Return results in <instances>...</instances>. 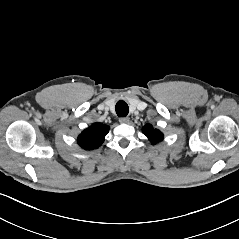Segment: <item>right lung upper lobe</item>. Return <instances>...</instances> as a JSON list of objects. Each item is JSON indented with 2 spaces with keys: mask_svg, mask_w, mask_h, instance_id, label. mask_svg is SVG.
Here are the masks:
<instances>
[{
  "mask_svg": "<svg viewBox=\"0 0 239 239\" xmlns=\"http://www.w3.org/2000/svg\"><path fill=\"white\" fill-rule=\"evenodd\" d=\"M108 131V126L102 123H94L79 135L78 144L86 150L98 148L104 142Z\"/></svg>",
  "mask_w": 239,
  "mask_h": 239,
  "instance_id": "cb5924a9",
  "label": "right lung upper lobe"
}]
</instances>
